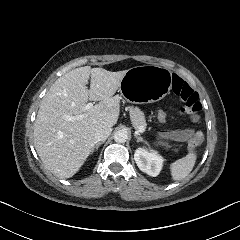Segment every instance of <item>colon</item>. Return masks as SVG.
<instances>
[{
    "mask_svg": "<svg viewBox=\"0 0 240 240\" xmlns=\"http://www.w3.org/2000/svg\"><path fill=\"white\" fill-rule=\"evenodd\" d=\"M178 94L182 102L188 104V115L195 116L202 108L198 93L187 83H184L178 90ZM167 120V113L158 110V121ZM202 145V133L198 132L193 138L186 140V145L191 148Z\"/></svg>",
    "mask_w": 240,
    "mask_h": 240,
    "instance_id": "colon-1",
    "label": "colon"
}]
</instances>
